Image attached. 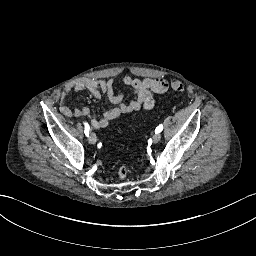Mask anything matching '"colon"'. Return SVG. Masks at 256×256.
Here are the masks:
<instances>
[{"label":"colon","mask_w":256,"mask_h":256,"mask_svg":"<svg viewBox=\"0 0 256 256\" xmlns=\"http://www.w3.org/2000/svg\"><path fill=\"white\" fill-rule=\"evenodd\" d=\"M172 88H173L175 91H177V92H182V91L184 90L183 84H182L181 82H178V81H176V82H174V83L172 84ZM129 171H130L129 166L123 164V165L120 166V168H119V170H118V174H119L120 177L124 178V177L127 176V174L129 173Z\"/></svg>","instance_id":"1"}]
</instances>
